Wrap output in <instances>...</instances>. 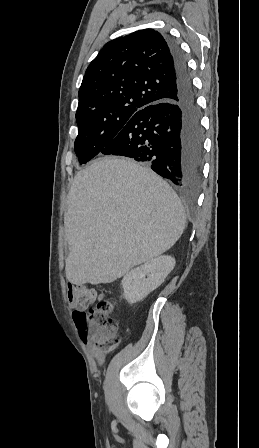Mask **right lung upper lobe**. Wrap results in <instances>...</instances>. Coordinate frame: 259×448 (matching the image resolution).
Here are the masks:
<instances>
[{
    "label": "right lung upper lobe",
    "mask_w": 259,
    "mask_h": 448,
    "mask_svg": "<svg viewBox=\"0 0 259 448\" xmlns=\"http://www.w3.org/2000/svg\"><path fill=\"white\" fill-rule=\"evenodd\" d=\"M176 90V72L165 38L153 29L106 43L88 66L76 115L145 108Z\"/></svg>",
    "instance_id": "cb5924a9"
}]
</instances>
